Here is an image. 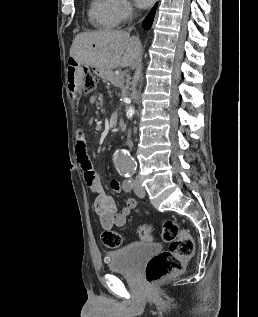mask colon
Returning <instances> with one entry per match:
<instances>
[{
    "instance_id": "colon-1",
    "label": "colon",
    "mask_w": 258,
    "mask_h": 317,
    "mask_svg": "<svg viewBox=\"0 0 258 317\" xmlns=\"http://www.w3.org/2000/svg\"><path fill=\"white\" fill-rule=\"evenodd\" d=\"M96 87L94 75L82 69V92H92ZM138 235L143 240H152L155 236V227L151 224H143L138 229ZM162 239L169 244L165 250L149 259L145 266V278L150 284H154L166 276L181 272L185 268L186 261L195 252V242L191 234L179 227L174 221H166L161 227ZM104 246L110 249L122 245V235L116 231L106 230L101 235Z\"/></svg>"
}]
</instances>
